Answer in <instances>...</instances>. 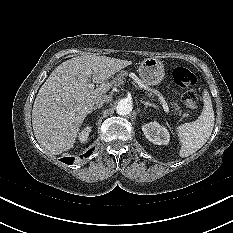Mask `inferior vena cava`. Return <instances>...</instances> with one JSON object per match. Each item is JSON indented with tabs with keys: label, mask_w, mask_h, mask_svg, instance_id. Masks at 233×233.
I'll return each mask as SVG.
<instances>
[{
	"label": "inferior vena cava",
	"mask_w": 233,
	"mask_h": 233,
	"mask_svg": "<svg viewBox=\"0 0 233 233\" xmlns=\"http://www.w3.org/2000/svg\"><path fill=\"white\" fill-rule=\"evenodd\" d=\"M111 101V96L108 95H104L102 97H100L99 99L96 100V105H103L104 103H108Z\"/></svg>",
	"instance_id": "inferior-vena-cava-1"
}]
</instances>
